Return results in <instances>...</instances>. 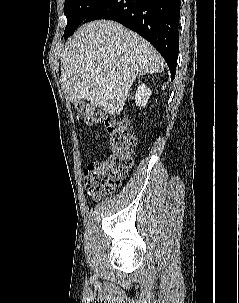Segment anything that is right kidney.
Wrapping results in <instances>:
<instances>
[{
	"instance_id": "1",
	"label": "right kidney",
	"mask_w": 239,
	"mask_h": 303,
	"mask_svg": "<svg viewBox=\"0 0 239 303\" xmlns=\"http://www.w3.org/2000/svg\"><path fill=\"white\" fill-rule=\"evenodd\" d=\"M151 96V90L145 84L138 86L135 94V103L137 106L145 107Z\"/></svg>"
}]
</instances>
